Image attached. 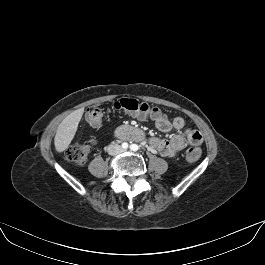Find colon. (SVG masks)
I'll return each instance as SVG.
<instances>
[{
	"label": "colon",
	"instance_id": "1",
	"mask_svg": "<svg viewBox=\"0 0 265 265\" xmlns=\"http://www.w3.org/2000/svg\"><path fill=\"white\" fill-rule=\"evenodd\" d=\"M110 109L122 110L151 118L163 115L158 107L134 98H121L116 100L113 102ZM103 114L104 108L99 105H95L87 110L86 120L90 125L97 126L101 123ZM91 150L92 144L88 141L74 142L67 148L66 157L70 161L82 164L88 160ZM200 156L201 150L196 146L189 148L186 153L187 159L191 162L198 160Z\"/></svg>",
	"mask_w": 265,
	"mask_h": 265
}]
</instances>
